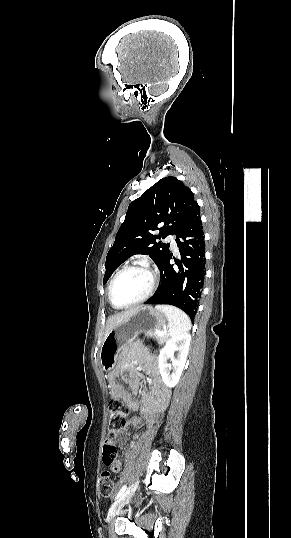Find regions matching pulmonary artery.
<instances>
[{
	"mask_svg": "<svg viewBox=\"0 0 291 538\" xmlns=\"http://www.w3.org/2000/svg\"><path fill=\"white\" fill-rule=\"evenodd\" d=\"M165 241L170 244V247H171L172 250H174V251L177 250V244H176L174 235H168L166 237Z\"/></svg>",
	"mask_w": 291,
	"mask_h": 538,
	"instance_id": "1",
	"label": "pulmonary artery"
}]
</instances>
